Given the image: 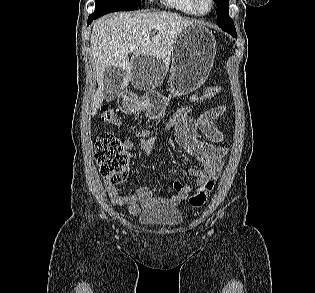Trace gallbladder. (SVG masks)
<instances>
[{
  "label": "gallbladder",
  "instance_id": "1",
  "mask_svg": "<svg viewBox=\"0 0 315 293\" xmlns=\"http://www.w3.org/2000/svg\"><path fill=\"white\" fill-rule=\"evenodd\" d=\"M125 71L115 66L108 67L103 73L104 99L112 101L124 82Z\"/></svg>",
  "mask_w": 315,
  "mask_h": 293
}]
</instances>
